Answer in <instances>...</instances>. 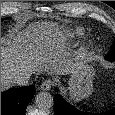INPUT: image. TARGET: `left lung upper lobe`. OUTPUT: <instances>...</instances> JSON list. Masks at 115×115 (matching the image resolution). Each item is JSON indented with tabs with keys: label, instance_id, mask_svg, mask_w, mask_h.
I'll return each instance as SVG.
<instances>
[{
	"label": "left lung upper lobe",
	"instance_id": "left-lung-upper-lobe-1",
	"mask_svg": "<svg viewBox=\"0 0 115 115\" xmlns=\"http://www.w3.org/2000/svg\"><path fill=\"white\" fill-rule=\"evenodd\" d=\"M105 59L109 61H115V41L113 42L111 50L106 55Z\"/></svg>",
	"mask_w": 115,
	"mask_h": 115
}]
</instances>
